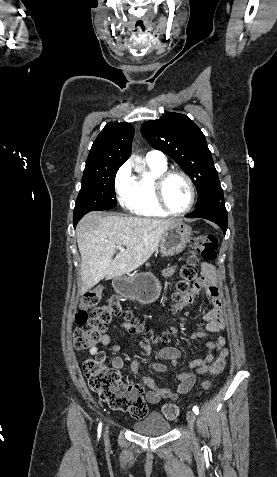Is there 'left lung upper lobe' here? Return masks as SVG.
Returning a JSON list of instances; mask_svg holds the SVG:
<instances>
[{
	"label": "left lung upper lobe",
	"instance_id": "obj_1",
	"mask_svg": "<svg viewBox=\"0 0 277 477\" xmlns=\"http://www.w3.org/2000/svg\"><path fill=\"white\" fill-rule=\"evenodd\" d=\"M141 134L153 148L170 156L191 177L198 191L195 209L222 189L205 136L189 117L166 113L157 120L143 123Z\"/></svg>",
	"mask_w": 277,
	"mask_h": 477
}]
</instances>
